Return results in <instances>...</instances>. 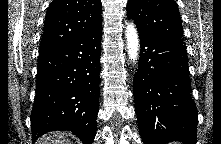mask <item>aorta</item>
Segmentation results:
<instances>
[{"mask_svg":"<svg viewBox=\"0 0 221 144\" xmlns=\"http://www.w3.org/2000/svg\"><path fill=\"white\" fill-rule=\"evenodd\" d=\"M127 41V51L132 62H136L139 54V39L138 33L133 24H128L125 31Z\"/></svg>","mask_w":221,"mask_h":144,"instance_id":"1","label":"aorta"}]
</instances>
